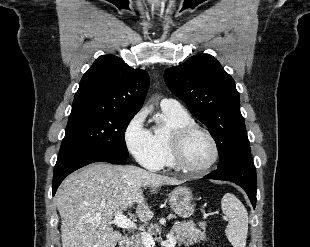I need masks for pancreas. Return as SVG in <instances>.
Segmentation results:
<instances>
[{"instance_id":"cf45deb5","label":"pancreas","mask_w":310,"mask_h":247,"mask_svg":"<svg viewBox=\"0 0 310 247\" xmlns=\"http://www.w3.org/2000/svg\"><path fill=\"white\" fill-rule=\"evenodd\" d=\"M161 228L158 224H150L147 228V231L144 233H149L151 235L157 234L160 232ZM169 237L176 239L178 245L190 246L199 241L206 240L205 229L200 230L196 228L195 224L192 221L188 222H176L172 227ZM133 247H144L141 236H136L132 243Z\"/></svg>"}]
</instances>
